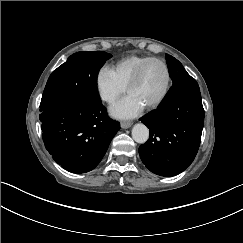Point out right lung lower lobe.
Listing matches in <instances>:
<instances>
[{
	"label": "right lung lower lobe",
	"mask_w": 243,
	"mask_h": 243,
	"mask_svg": "<svg viewBox=\"0 0 243 243\" xmlns=\"http://www.w3.org/2000/svg\"><path fill=\"white\" fill-rule=\"evenodd\" d=\"M42 138L52 158L72 173L94 169L120 129L102 102L65 99L42 111Z\"/></svg>",
	"instance_id": "1"
}]
</instances>
